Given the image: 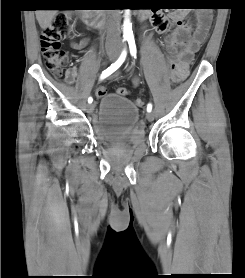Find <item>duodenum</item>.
<instances>
[{
  "mask_svg": "<svg viewBox=\"0 0 245 278\" xmlns=\"http://www.w3.org/2000/svg\"><path fill=\"white\" fill-rule=\"evenodd\" d=\"M147 16H148L147 12H145V11L140 12V17L142 19L146 18ZM83 20L88 26H90L92 28H100L103 24V20H102L100 13L97 11H94V10L86 11L83 14Z\"/></svg>",
  "mask_w": 245,
  "mask_h": 278,
  "instance_id": "410a0bca",
  "label": "duodenum"
}]
</instances>
